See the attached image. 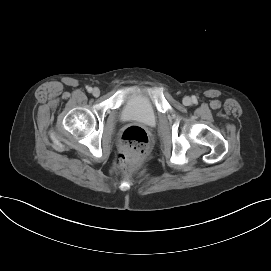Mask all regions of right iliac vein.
Masks as SVG:
<instances>
[{
	"label": "right iliac vein",
	"mask_w": 271,
	"mask_h": 271,
	"mask_svg": "<svg viewBox=\"0 0 271 271\" xmlns=\"http://www.w3.org/2000/svg\"><path fill=\"white\" fill-rule=\"evenodd\" d=\"M92 94L93 96L98 97L100 95V90L98 88H94L92 90Z\"/></svg>",
	"instance_id": "1"
}]
</instances>
